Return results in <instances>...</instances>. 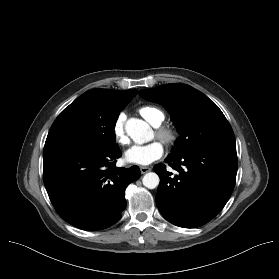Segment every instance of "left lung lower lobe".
<instances>
[{
  "label": "left lung lower lobe",
  "instance_id": "0a47b994",
  "mask_svg": "<svg viewBox=\"0 0 279 279\" xmlns=\"http://www.w3.org/2000/svg\"><path fill=\"white\" fill-rule=\"evenodd\" d=\"M167 163L178 175L157 164L160 177L156 203L170 223L195 228L213 219L225 206L235 186L237 154L235 144H211L180 156L169 155Z\"/></svg>",
  "mask_w": 279,
  "mask_h": 279
}]
</instances>
